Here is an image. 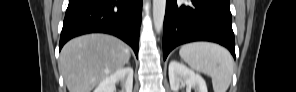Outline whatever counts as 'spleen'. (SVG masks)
Segmentation results:
<instances>
[{
    "label": "spleen",
    "instance_id": "1",
    "mask_svg": "<svg viewBox=\"0 0 296 92\" xmlns=\"http://www.w3.org/2000/svg\"><path fill=\"white\" fill-rule=\"evenodd\" d=\"M180 57L197 72L211 77L214 92H226L233 75V60L223 47L209 42L183 45Z\"/></svg>",
    "mask_w": 296,
    "mask_h": 92
}]
</instances>
